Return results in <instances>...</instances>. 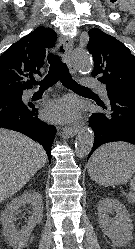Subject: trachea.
Here are the masks:
<instances>
[{"instance_id": "trachea-1", "label": "trachea", "mask_w": 135, "mask_h": 249, "mask_svg": "<svg viewBox=\"0 0 135 249\" xmlns=\"http://www.w3.org/2000/svg\"><path fill=\"white\" fill-rule=\"evenodd\" d=\"M60 52H64L63 46L60 47ZM48 62L50 64L49 72L46 77L38 83L40 88L44 89L54 85L57 81H61V83L70 90L90 91L88 88L79 85L72 79L66 64L62 62L61 57L58 54L49 53ZM30 83L36 84V81H31Z\"/></svg>"}]
</instances>
